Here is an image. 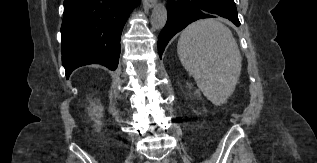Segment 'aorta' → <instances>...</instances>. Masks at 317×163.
<instances>
[{
    "label": "aorta",
    "mask_w": 317,
    "mask_h": 163,
    "mask_svg": "<svg viewBox=\"0 0 317 163\" xmlns=\"http://www.w3.org/2000/svg\"><path fill=\"white\" fill-rule=\"evenodd\" d=\"M167 22V10L161 3L155 5L151 15V25L154 29H162Z\"/></svg>",
    "instance_id": "aorta-1"
}]
</instances>
